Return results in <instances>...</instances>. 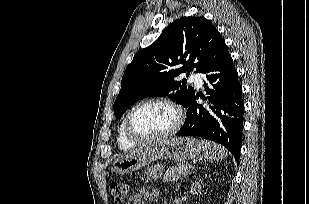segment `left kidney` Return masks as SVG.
<instances>
[{"mask_svg": "<svg viewBox=\"0 0 309 204\" xmlns=\"http://www.w3.org/2000/svg\"><path fill=\"white\" fill-rule=\"evenodd\" d=\"M202 187H203L202 181L201 180L196 181L195 183H193L191 190H190V193L192 195L198 194L202 190Z\"/></svg>", "mask_w": 309, "mask_h": 204, "instance_id": "left-kidney-1", "label": "left kidney"}]
</instances>
